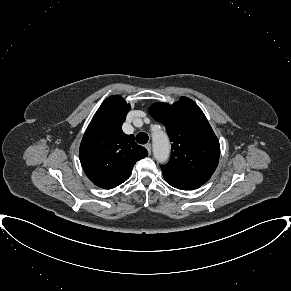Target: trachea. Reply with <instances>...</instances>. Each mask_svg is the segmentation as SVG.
<instances>
[{
  "mask_svg": "<svg viewBox=\"0 0 291 291\" xmlns=\"http://www.w3.org/2000/svg\"><path fill=\"white\" fill-rule=\"evenodd\" d=\"M148 135L145 132L138 133L136 136V141L139 144H146L148 142Z\"/></svg>",
  "mask_w": 291,
  "mask_h": 291,
  "instance_id": "trachea-1",
  "label": "trachea"
}]
</instances>
